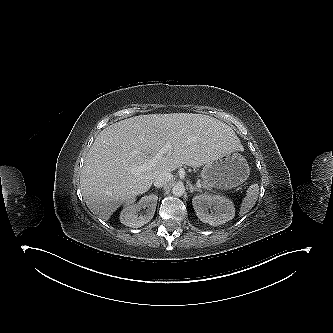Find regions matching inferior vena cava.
Here are the masks:
<instances>
[{
    "label": "inferior vena cava",
    "mask_w": 333,
    "mask_h": 333,
    "mask_svg": "<svg viewBox=\"0 0 333 333\" xmlns=\"http://www.w3.org/2000/svg\"><path fill=\"white\" fill-rule=\"evenodd\" d=\"M173 175L170 172H160L158 173L153 180V184L157 188L165 186L171 179Z\"/></svg>",
    "instance_id": "602c4592"
}]
</instances>
